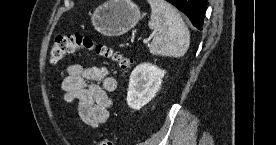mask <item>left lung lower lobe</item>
<instances>
[{
  "mask_svg": "<svg viewBox=\"0 0 276 145\" xmlns=\"http://www.w3.org/2000/svg\"><path fill=\"white\" fill-rule=\"evenodd\" d=\"M185 13L193 25L202 30L203 21L206 12V0H167Z\"/></svg>",
  "mask_w": 276,
  "mask_h": 145,
  "instance_id": "0a47b994",
  "label": "left lung lower lobe"
}]
</instances>
